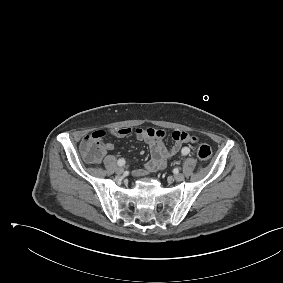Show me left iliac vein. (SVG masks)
Segmentation results:
<instances>
[{
    "label": "left iliac vein",
    "mask_w": 283,
    "mask_h": 283,
    "mask_svg": "<svg viewBox=\"0 0 283 283\" xmlns=\"http://www.w3.org/2000/svg\"><path fill=\"white\" fill-rule=\"evenodd\" d=\"M185 179L184 175L179 173V174H176L174 175V180H176L177 182H181Z\"/></svg>",
    "instance_id": "4c4485c4"
}]
</instances>
